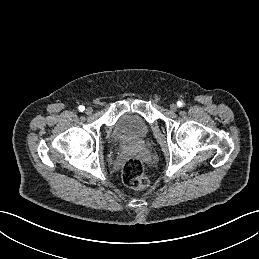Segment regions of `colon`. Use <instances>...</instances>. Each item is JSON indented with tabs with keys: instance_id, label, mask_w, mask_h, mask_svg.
I'll list each match as a JSON object with an SVG mask.
<instances>
[{
	"instance_id": "1",
	"label": "colon",
	"mask_w": 259,
	"mask_h": 259,
	"mask_svg": "<svg viewBox=\"0 0 259 259\" xmlns=\"http://www.w3.org/2000/svg\"><path fill=\"white\" fill-rule=\"evenodd\" d=\"M123 182L133 189H145L149 186V179L145 175L142 162L136 158H129L122 169Z\"/></svg>"
}]
</instances>
